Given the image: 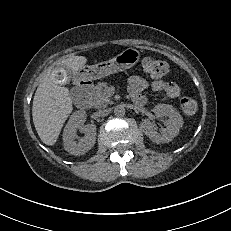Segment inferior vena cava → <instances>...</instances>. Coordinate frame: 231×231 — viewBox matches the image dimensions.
<instances>
[{
    "mask_svg": "<svg viewBox=\"0 0 231 231\" xmlns=\"http://www.w3.org/2000/svg\"><path fill=\"white\" fill-rule=\"evenodd\" d=\"M110 113L109 109L99 110L95 114L97 117L107 116Z\"/></svg>",
    "mask_w": 231,
    "mask_h": 231,
    "instance_id": "inferior-vena-cava-1",
    "label": "inferior vena cava"
}]
</instances>
